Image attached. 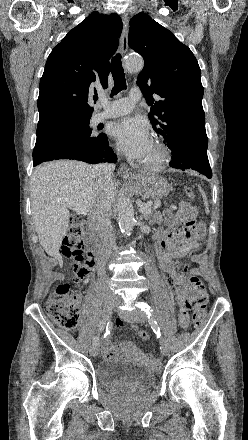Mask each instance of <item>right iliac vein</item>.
<instances>
[{"mask_svg": "<svg viewBox=\"0 0 248 440\" xmlns=\"http://www.w3.org/2000/svg\"><path fill=\"white\" fill-rule=\"evenodd\" d=\"M116 304L115 299L112 296H105L103 299V314L106 319H109L112 313V310ZM99 353L98 345H93L90 349V354L92 356H97Z\"/></svg>", "mask_w": 248, "mask_h": 440, "instance_id": "1", "label": "right iliac vein"}]
</instances>
